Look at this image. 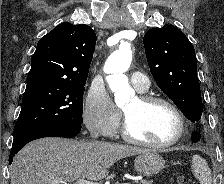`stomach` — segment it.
Returning <instances> with one entry per match:
<instances>
[{
	"label": "stomach",
	"instance_id": "1",
	"mask_svg": "<svg viewBox=\"0 0 224 184\" xmlns=\"http://www.w3.org/2000/svg\"><path fill=\"white\" fill-rule=\"evenodd\" d=\"M165 165L161 155L153 151L138 154L134 160L135 169L142 175L150 177L159 173Z\"/></svg>",
	"mask_w": 224,
	"mask_h": 184
}]
</instances>
